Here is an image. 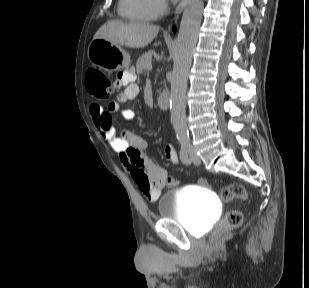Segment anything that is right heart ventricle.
<instances>
[{
    "label": "right heart ventricle",
    "instance_id": "obj_1",
    "mask_svg": "<svg viewBox=\"0 0 309 288\" xmlns=\"http://www.w3.org/2000/svg\"><path fill=\"white\" fill-rule=\"evenodd\" d=\"M118 12L135 22H149L157 17L151 0H118Z\"/></svg>",
    "mask_w": 309,
    "mask_h": 288
}]
</instances>
